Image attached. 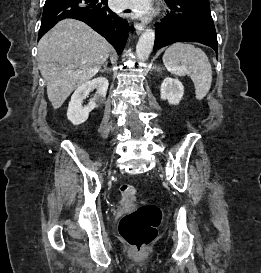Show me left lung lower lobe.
I'll use <instances>...</instances> for the list:
<instances>
[{
  "label": "left lung lower lobe",
  "instance_id": "0a47b994",
  "mask_svg": "<svg viewBox=\"0 0 261 273\" xmlns=\"http://www.w3.org/2000/svg\"><path fill=\"white\" fill-rule=\"evenodd\" d=\"M172 10L156 24L154 51L169 44L199 42L217 53V37L209 0H165Z\"/></svg>",
  "mask_w": 261,
  "mask_h": 273
}]
</instances>
